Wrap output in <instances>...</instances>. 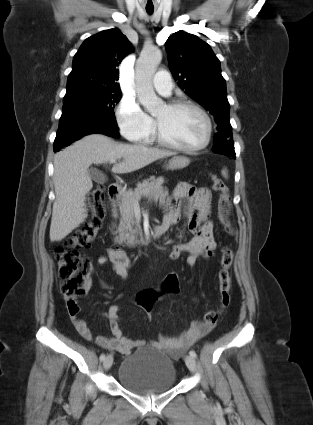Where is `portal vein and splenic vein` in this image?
<instances>
[{
  "mask_svg": "<svg viewBox=\"0 0 313 425\" xmlns=\"http://www.w3.org/2000/svg\"><path fill=\"white\" fill-rule=\"evenodd\" d=\"M111 164H114V163H116V160H110L109 161Z\"/></svg>",
  "mask_w": 313,
  "mask_h": 425,
  "instance_id": "obj_1",
  "label": "portal vein and splenic vein"
}]
</instances>
